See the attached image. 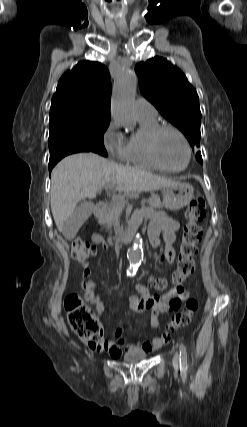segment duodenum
<instances>
[{
    "instance_id": "duodenum-1",
    "label": "duodenum",
    "mask_w": 247,
    "mask_h": 427,
    "mask_svg": "<svg viewBox=\"0 0 247 427\" xmlns=\"http://www.w3.org/2000/svg\"><path fill=\"white\" fill-rule=\"evenodd\" d=\"M107 209V203L104 201H100L96 204L94 209V215L96 217H100L104 214ZM134 236V227L129 225L120 235L112 238L110 240L111 245H119L122 243H129L133 239Z\"/></svg>"
}]
</instances>
